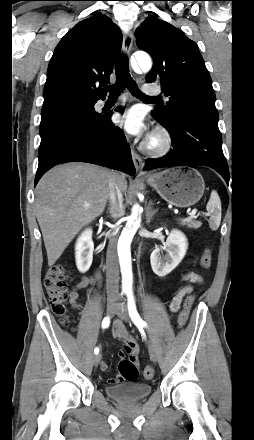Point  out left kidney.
<instances>
[{"label": "left kidney", "mask_w": 254, "mask_h": 440, "mask_svg": "<svg viewBox=\"0 0 254 440\" xmlns=\"http://www.w3.org/2000/svg\"><path fill=\"white\" fill-rule=\"evenodd\" d=\"M187 248L188 242L185 235L178 230H172L163 247L167 254L161 256L160 249H156L151 253L150 263L153 272L160 277L169 274L182 261Z\"/></svg>", "instance_id": "left-kidney-1"}]
</instances>
